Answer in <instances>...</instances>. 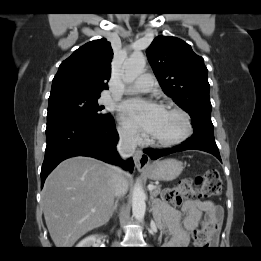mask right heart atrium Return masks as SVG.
Listing matches in <instances>:
<instances>
[{
    "label": "right heart atrium",
    "mask_w": 261,
    "mask_h": 261,
    "mask_svg": "<svg viewBox=\"0 0 261 261\" xmlns=\"http://www.w3.org/2000/svg\"><path fill=\"white\" fill-rule=\"evenodd\" d=\"M118 132L121 139L126 143L133 144L136 143L139 139L137 133L133 129L125 125H120L118 127Z\"/></svg>",
    "instance_id": "d8ad5b80"
}]
</instances>
